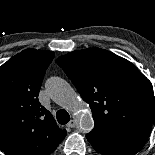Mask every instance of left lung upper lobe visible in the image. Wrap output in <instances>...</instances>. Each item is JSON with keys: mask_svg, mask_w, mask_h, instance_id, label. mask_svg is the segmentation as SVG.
<instances>
[{"mask_svg": "<svg viewBox=\"0 0 155 155\" xmlns=\"http://www.w3.org/2000/svg\"><path fill=\"white\" fill-rule=\"evenodd\" d=\"M56 62L89 104L94 128L154 123L152 84L128 60L104 49L88 48L60 56Z\"/></svg>", "mask_w": 155, "mask_h": 155, "instance_id": "5c2ea615", "label": "left lung upper lobe"}]
</instances>
